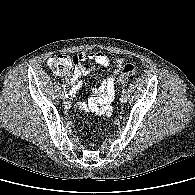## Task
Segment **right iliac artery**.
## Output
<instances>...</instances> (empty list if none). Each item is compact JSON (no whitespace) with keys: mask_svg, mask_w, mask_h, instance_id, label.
Here are the masks:
<instances>
[{"mask_svg":"<svg viewBox=\"0 0 195 195\" xmlns=\"http://www.w3.org/2000/svg\"><path fill=\"white\" fill-rule=\"evenodd\" d=\"M63 88L65 89V88H66V86H65V85H63Z\"/></svg>","mask_w":195,"mask_h":195,"instance_id":"1","label":"right iliac artery"}]
</instances>
